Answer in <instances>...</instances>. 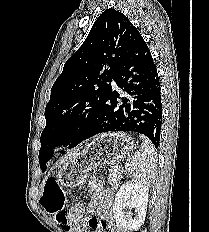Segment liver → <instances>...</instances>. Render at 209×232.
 Listing matches in <instances>:
<instances>
[{
	"mask_svg": "<svg viewBox=\"0 0 209 232\" xmlns=\"http://www.w3.org/2000/svg\"><path fill=\"white\" fill-rule=\"evenodd\" d=\"M77 152H78V150H74V151L70 152V153L67 155V157H66L64 160H62V163L65 162V161H67V160L70 159L71 157H73Z\"/></svg>",
	"mask_w": 209,
	"mask_h": 232,
	"instance_id": "1",
	"label": "liver"
}]
</instances>
